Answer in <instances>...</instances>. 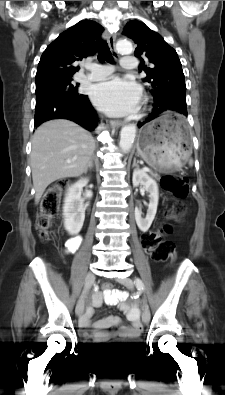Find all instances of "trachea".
<instances>
[{
	"label": "trachea",
	"mask_w": 225,
	"mask_h": 395,
	"mask_svg": "<svg viewBox=\"0 0 225 395\" xmlns=\"http://www.w3.org/2000/svg\"><path fill=\"white\" fill-rule=\"evenodd\" d=\"M97 46H98V60L100 62L107 61L109 63H112L113 58L107 43L104 42L101 38H97Z\"/></svg>",
	"instance_id": "3493384b"
}]
</instances>
